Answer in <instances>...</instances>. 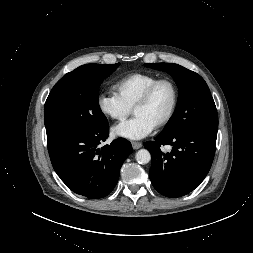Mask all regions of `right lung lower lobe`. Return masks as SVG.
<instances>
[{
    "label": "right lung lower lobe",
    "instance_id": "1",
    "mask_svg": "<svg viewBox=\"0 0 253 253\" xmlns=\"http://www.w3.org/2000/svg\"><path fill=\"white\" fill-rule=\"evenodd\" d=\"M108 135L107 123L93 130H70L47 137L54 170L76 194L99 199L116 186L120 168L133 149L124 138L99 148Z\"/></svg>",
    "mask_w": 253,
    "mask_h": 253
}]
</instances>
